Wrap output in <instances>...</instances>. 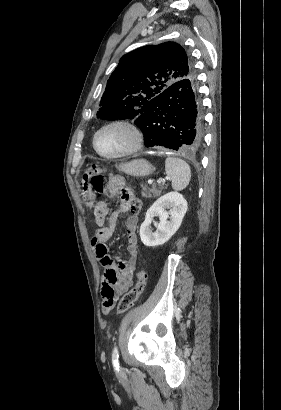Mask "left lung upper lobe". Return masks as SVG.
Masks as SVG:
<instances>
[{
	"instance_id": "left-lung-upper-lobe-1",
	"label": "left lung upper lobe",
	"mask_w": 281,
	"mask_h": 410,
	"mask_svg": "<svg viewBox=\"0 0 281 410\" xmlns=\"http://www.w3.org/2000/svg\"><path fill=\"white\" fill-rule=\"evenodd\" d=\"M195 77L185 50L177 43L140 47L125 54L101 98L100 119H136L148 102L175 82Z\"/></svg>"
}]
</instances>
